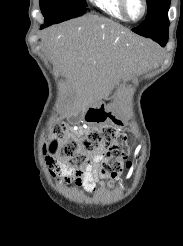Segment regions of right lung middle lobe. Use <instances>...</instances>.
Segmentation results:
<instances>
[{"mask_svg": "<svg viewBox=\"0 0 183 246\" xmlns=\"http://www.w3.org/2000/svg\"><path fill=\"white\" fill-rule=\"evenodd\" d=\"M85 0H40L45 26L57 24L86 12Z\"/></svg>", "mask_w": 183, "mask_h": 246, "instance_id": "obj_1", "label": "right lung middle lobe"}]
</instances>
